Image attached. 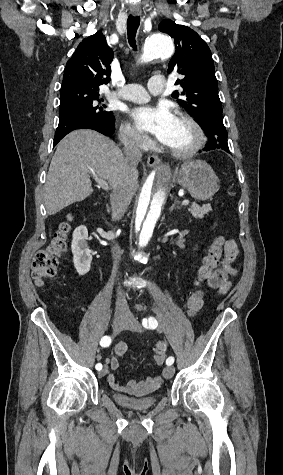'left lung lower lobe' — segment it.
<instances>
[{
  "label": "left lung lower lobe",
  "mask_w": 283,
  "mask_h": 475,
  "mask_svg": "<svg viewBox=\"0 0 283 475\" xmlns=\"http://www.w3.org/2000/svg\"><path fill=\"white\" fill-rule=\"evenodd\" d=\"M201 127L208 137V144L204 151L220 149L230 153L227 143V131L223 124L222 116H213L205 119Z\"/></svg>",
  "instance_id": "1"
}]
</instances>
